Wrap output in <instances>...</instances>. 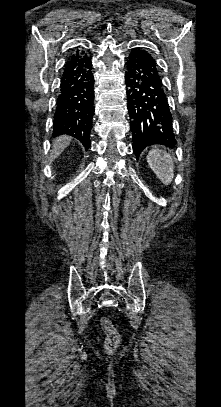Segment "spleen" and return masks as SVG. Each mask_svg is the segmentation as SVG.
<instances>
[{
    "label": "spleen",
    "instance_id": "spleen-1",
    "mask_svg": "<svg viewBox=\"0 0 221 407\" xmlns=\"http://www.w3.org/2000/svg\"><path fill=\"white\" fill-rule=\"evenodd\" d=\"M147 162L163 184L168 185L172 182L174 176V163L167 152L155 147L149 151Z\"/></svg>",
    "mask_w": 221,
    "mask_h": 407
}]
</instances>
